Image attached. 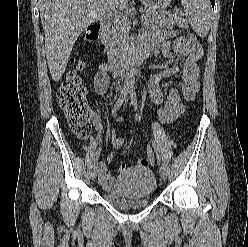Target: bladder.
<instances>
[{
    "instance_id": "obj_1",
    "label": "bladder",
    "mask_w": 248,
    "mask_h": 247,
    "mask_svg": "<svg viewBox=\"0 0 248 247\" xmlns=\"http://www.w3.org/2000/svg\"><path fill=\"white\" fill-rule=\"evenodd\" d=\"M156 190V179L148 168L134 167L119 177V188L115 192L104 191V199L121 208L140 207L149 204Z\"/></svg>"
}]
</instances>
